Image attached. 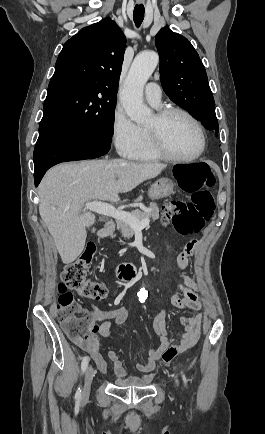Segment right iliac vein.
<instances>
[{"label":"right iliac vein","instance_id":"63e3f726","mask_svg":"<svg viewBox=\"0 0 265 434\" xmlns=\"http://www.w3.org/2000/svg\"><path fill=\"white\" fill-rule=\"evenodd\" d=\"M94 377V369L92 366H89L86 369L85 372V376H84V387H83V392H82V401H86L87 398L89 397V392H90V387H91V383Z\"/></svg>","mask_w":265,"mask_h":434}]
</instances>
